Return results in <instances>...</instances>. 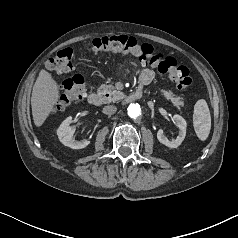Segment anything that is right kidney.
Returning <instances> with one entry per match:
<instances>
[{"label":"right kidney","instance_id":"right-kidney-1","mask_svg":"<svg viewBox=\"0 0 238 238\" xmlns=\"http://www.w3.org/2000/svg\"><path fill=\"white\" fill-rule=\"evenodd\" d=\"M72 123V117H67L60 127L57 130V135L60 140V142L68 146L72 149H82L85 148L90 144L89 140H82L78 141L74 138L73 134L75 132V128L71 126L70 124Z\"/></svg>","mask_w":238,"mask_h":238}]
</instances>
